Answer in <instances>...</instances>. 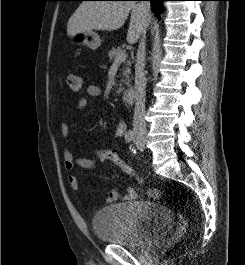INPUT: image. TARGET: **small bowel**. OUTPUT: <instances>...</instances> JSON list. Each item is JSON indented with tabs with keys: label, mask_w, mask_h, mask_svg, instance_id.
I'll return each mask as SVG.
<instances>
[{
	"label": "small bowel",
	"mask_w": 245,
	"mask_h": 265,
	"mask_svg": "<svg viewBox=\"0 0 245 265\" xmlns=\"http://www.w3.org/2000/svg\"><path fill=\"white\" fill-rule=\"evenodd\" d=\"M85 93L88 97L95 98L99 97L102 93L101 88L98 85L90 84L86 87ZM87 106V99L82 97L78 99L75 108L77 110H82ZM72 125L63 122L61 124V136L63 139H68L70 136ZM124 127L119 125L115 130V136L119 137L123 134ZM64 165L66 170L73 171L76 167H80L84 170H92L95 168V161L87 157H76L69 149H66L63 154ZM69 187L77 191L80 189V181L77 176L71 174L68 176ZM148 196L152 199H157L160 196V192L156 189L150 190ZM123 198L124 200H136L138 198V192L133 187H126V195L121 197L120 191L118 188L111 189L107 195L106 202L113 203L115 201Z\"/></svg>",
	"instance_id": "1"
}]
</instances>
